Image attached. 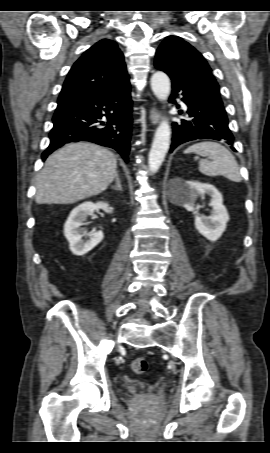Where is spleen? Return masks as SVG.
I'll return each mask as SVG.
<instances>
[{
  "label": "spleen",
  "mask_w": 270,
  "mask_h": 453,
  "mask_svg": "<svg viewBox=\"0 0 270 453\" xmlns=\"http://www.w3.org/2000/svg\"><path fill=\"white\" fill-rule=\"evenodd\" d=\"M184 153H195L209 159L199 162L198 169L204 175H222L234 182L242 180L235 157L227 148L217 142L206 141L193 144Z\"/></svg>",
  "instance_id": "1"
}]
</instances>
